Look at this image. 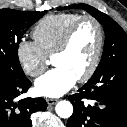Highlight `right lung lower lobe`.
<instances>
[{
	"label": "right lung lower lobe",
	"mask_w": 127,
	"mask_h": 127,
	"mask_svg": "<svg viewBox=\"0 0 127 127\" xmlns=\"http://www.w3.org/2000/svg\"><path fill=\"white\" fill-rule=\"evenodd\" d=\"M30 86L26 77L18 80L0 74V127H32L31 114L46 109L44 98H26L16 102Z\"/></svg>",
	"instance_id": "right-lung-lower-lobe-1"
}]
</instances>
